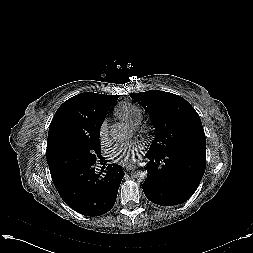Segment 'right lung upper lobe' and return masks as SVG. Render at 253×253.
Wrapping results in <instances>:
<instances>
[{
    "label": "right lung upper lobe",
    "mask_w": 253,
    "mask_h": 253,
    "mask_svg": "<svg viewBox=\"0 0 253 253\" xmlns=\"http://www.w3.org/2000/svg\"><path fill=\"white\" fill-rule=\"evenodd\" d=\"M119 95L93 92L78 94L66 100L56 111L48 132L47 153L63 138L92 135Z\"/></svg>",
    "instance_id": "1"
}]
</instances>
